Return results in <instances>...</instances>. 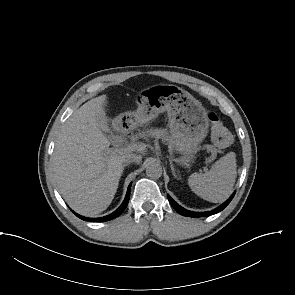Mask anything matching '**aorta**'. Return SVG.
Returning a JSON list of instances; mask_svg holds the SVG:
<instances>
[{
	"label": "aorta",
	"mask_w": 295,
	"mask_h": 295,
	"mask_svg": "<svg viewBox=\"0 0 295 295\" xmlns=\"http://www.w3.org/2000/svg\"><path fill=\"white\" fill-rule=\"evenodd\" d=\"M146 174L148 177L153 179H157L161 177L162 175L161 165L156 161H151L146 168Z\"/></svg>",
	"instance_id": "obj_1"
}]
</instances>
